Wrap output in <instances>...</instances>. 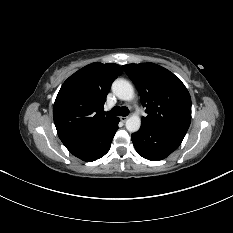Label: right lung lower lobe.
I'll list each match as a JSON object with an SVG mask.
<instances>
[{"instance_id": "obj_1", "label": "right lung lower lobe", "mask_w": 233, "mask_h": 233, "mask_svg": "<svg viewBox=\"0 0 233 233\" xmlns=\"http://www.w3.org/2000/svg\"><path fill=\"white\" fill-rule=\"evenodd\" d=\"M118 123L119 118L116 117L80 136L62 142L74 156L86 162L95 161L109 151L112 139L118 129Z\"/></svg>"}]
</instances>
